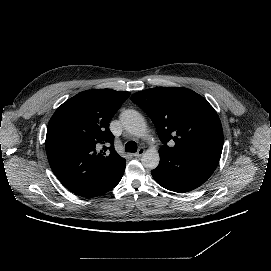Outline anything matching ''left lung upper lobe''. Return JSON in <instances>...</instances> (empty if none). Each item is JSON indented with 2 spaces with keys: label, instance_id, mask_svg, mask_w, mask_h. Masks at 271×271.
Instances as JSON below:
<instances>
[{
  "label": "left lung upper lobe",
  "instance_id": "obj_1",
  "mask_svg": "<svg viewBox=\"0 0 271 271\" xmlns=\"http://www.w3.org/2000/svg\"><path fill=\"white\" fill-rule=\"evenodd\" d=\"M154 123L165 147L220 159L223 130L214 108L199 94L176 87H157L131 96ZM172 140L173 147L167 146Z\"/></svg>",
  "mask_w": 271,
  "mask_h": 271
}]
</instances>
